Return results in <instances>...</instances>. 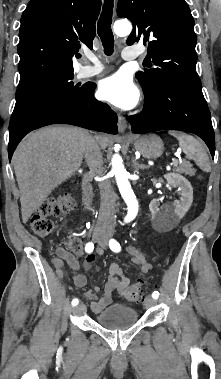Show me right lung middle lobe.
Instances as JSON below:
<instances>
[{"mask_svg": "<svg viewBox=\"0 0 221 379\" xmlns=\"http://www.w3.org/2000/svg\"><path fill=\"white\" fill-rule=\"evenodd\" d=\"M73 77V70H60L21 80L16 91V104L9 130L41 109L69 102L81 95L88 85L75 84Z\"/></svg>", "mask_w": 221, "mask_h": 379, "instance_id": "right-lung-middle-lobe-1", "label": "right lung middle lobe"}]
</instances>
